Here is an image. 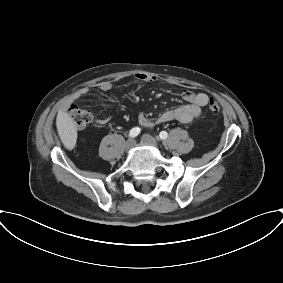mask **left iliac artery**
<instances>
[{
  "mask_svg": "<svg viewBox=\"0 0 283 283\" xmlns=\"http://www.w3.org/2000/svg\"><path fill=\"white\" fill-rule=\"evenodd\" d=\"M167 137H168V134H167L166 131H161V132L159 133V138H160L161 140H164V139H166Z\"/></svg>",
  "mask_w": 283,
  "mask_h": 283,
  "instance_id": "1",
  "label": "left iliac artery"
}]
</instances>
